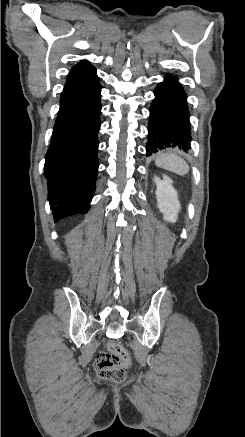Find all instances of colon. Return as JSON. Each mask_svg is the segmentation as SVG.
<instances>
[{
	"mask_svg": "<svg viewBox=\"0 0 245 437\" xmlns=\"http://www.w3.org/2000/svg\"><path fill=\"white\" fill-rule=\"evenodd\" d=\"M107 351L98 353L95 368L98 375L113 382H122L126 377L125 369L131 363L128 351L118 343L110 342Z\"/></svg>",
	"mask_w": 245,
	"mask_h": 437,
	"instance_id": "5ec220e1",
	"label": "colon"
}]
</instances>
